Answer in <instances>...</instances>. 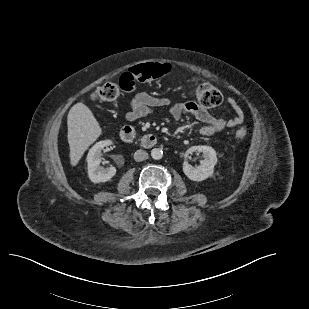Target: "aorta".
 Instances as JSON below:
<instances>
[{
  "mask_svg": "<svg viewBox=\"0 0 309 309\" xmlns=\"http://www.w3.org/2000/svg\"><path fill=\"white\" fill-rule=\"evenodd\" d=\"M151 157L154 160H160L163 157V151L160 148H154L151 150Z\"/></svg>",
  "mask_w": 309,
  "mask_h": 309,
  "instance_id": "obj_1",
  "label": "aorta"
}]
</instances>
